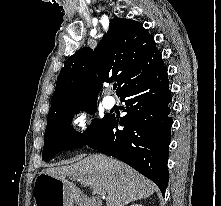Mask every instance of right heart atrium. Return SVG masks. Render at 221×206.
Returning a JSON list of instances; mask_svg holds the SVG:
<instances>
[{
	"label": "right heart atrium",
	"mask_w": 221,
	"mask_h": 206,
	"mask_svg": "<svg viewBox=\"0 0 221 206\" xmlns=\"http://www.w3.org/2000/svg\"><path fill=\"white\" fill-rule=\"evenodd\" d=\"M89 126V114L82 108L78 107L75 109L72 115V127L74 132L78 135L84 134Z\"/></svg>",
	"instance_id": "right-heart-atrium-1"
}]
</instances>
